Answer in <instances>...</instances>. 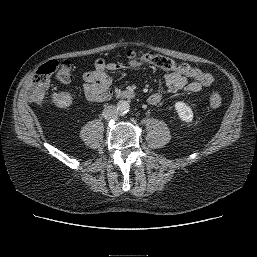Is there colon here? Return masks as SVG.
<instances>
[{
  "mask_svg": "<svg viewBox=\"0 0 257 257\" xmlns=\"http://www.w3.org/2000/svg\"><path fill=\"white\" fill-rule=\"evenodd\" d=\"M127 63L132 64L136 61H144L166 71H175L193 80L199 81L204 87H209L214 83L212 74L204 72L189 64H178L172 59L154 54H137L134 51H128L125 56ZM54 78L61 83L67 84L71 82L72 66L68 61L52 60L40 66L34 73L31 84L27 88V97L36 103H43L45 91ZM72 98L69 93L61 92L56 94L51 103L56 107H67L71 104ZM209 104L212 108H218L222 104L221 95L214 91L209 95Z\"/></svg>",
  "mask_w": 257,
  "mask_h": 257,
  "instance_id": "1",
  "label": "colon"
}]
</instances>
